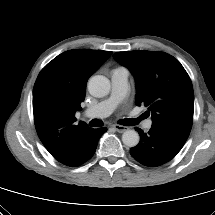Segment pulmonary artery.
<instances>
[{"instance_id": "pulmonary-artery-1", "label": "pulmonary artery", "mask_w": 215, "mask_h": 215, "mask_svg": "<svg viewBox=\"0 0 215 215\" xmlns=\"http://www.w3.org/2000/svg\"><path fill=\"white\" fill-rule=\"evenodd\" d=\"M129 72L125 68H117L111 72V94L110 96L86 109L85 116L90 118H103L112 113L115 107L123 100L128 90ZM152 122L145 123V128L150 129Z\"/></svg>"}]
</instances>
